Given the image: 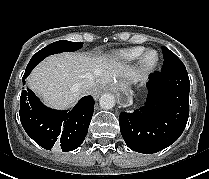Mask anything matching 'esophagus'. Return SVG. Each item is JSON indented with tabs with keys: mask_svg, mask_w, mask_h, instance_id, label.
I'll return each instance as SVG.
<instances>
[{
	"mask_svg": "<svg viewBox=\"0 0 209 179\" xmlns=\"http://www.w3.org/2000/svg\"><path fill=\"white\" fill-rule=\"evenodd\" d=\"M118 103L120 105H127L130 100V96L127 92H120L117 96Z\"/></svg>",
	"mask_w": 209,
	"mask_h": 179,
	"instance_id": "1",
	"label": "esophagus"
}]
</instances>
